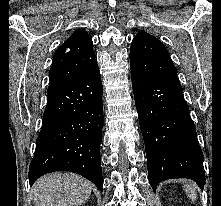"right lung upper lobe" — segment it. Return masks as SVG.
I'll list each match as a JSON object with an SVG mask.
<instances>
[{"mask_svg": "<svg viewBox=\"0 0 221 206\" xmlns=\"http://www.w3.org/2000/svg\"><path fill=\"white\" fill-rule=\"evenodd\" d=\"M97 66L92 37L76 30L55 52L49 72L48 90L69 82Z\"/></svg>", "mask_w": 221, "mask_h": 206, "instance_id": "cb5924a9", "label": "right lung upper lobe"}]
</instances>
